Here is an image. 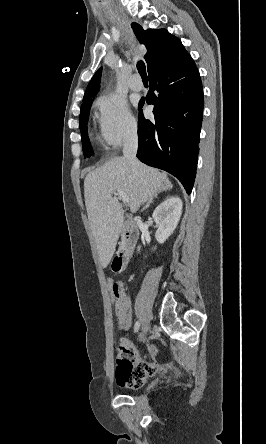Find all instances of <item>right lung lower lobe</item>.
Returning a JSON list of instances; mask_svg holds the SVG:
<instances>
[{"label":"right lung lower lobe","mask_w":266,"mask_h":444,"mask_svg":"<svg viewBox=\"0 0 266 444\" xmlns=\"http://www.w3.org/2000/svg\"><path fill=\"white\" fill-rule=\"evenodd\" d=\"M149 80L146 103L154 105L155 120H146L140 110L137 157L174 175L190 194L196 175L204 106L198 69L188 55L152 72ZM143 104L141 100L139 109Z\"/></svg>","instance_id":"98d812e1"}]
</instances>
